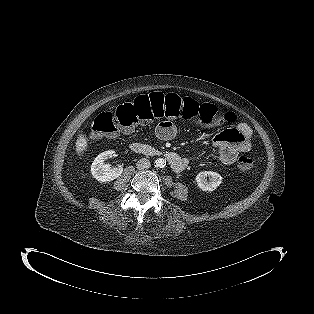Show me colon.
I'll return each instance as SVG.
<instances>
[{
    "label": "colon",
    "mask_w": 314,
    "mask_h": 314,
    "mask_svg": "<svg viewBox=\"0 0 314 314\" xmlns=\"http://www.w3.org/2000/svg\"><path fill=\"white\" fill-rule=\"evenodd\" d=\"M218 115L217 109L211 104H202L193 98L177 94L154 92L125 102L113 111L99 113L85 129V134L88 139L95 140L100 137H115L121 131H129L138 124H147L157 118L211 123ZM236 166L241 171H248L253 166V159L248 155L240 156Z\"/></svg>",
    "instance_id": "5ec220e1"
}]
</instances>
